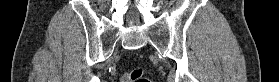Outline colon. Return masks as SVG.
I'll return each mask as SVG.
<instances>
[{
  "label": "colon",
  "mask_w": 279,
  "mask_h": 82,
  "mask_svg": "<svg viewBox=\"0 0 279 82\" xmlns=\"http://www.w3.org/2000/svg\"><path fill=\"white\" fill-rule=\"evenodd\" d=\"M120 82H148V78L144 75L142 69H137L124 73L120 78Z\"/></svg>",
  "instance_id": "obj_1"
}]
</instances>
